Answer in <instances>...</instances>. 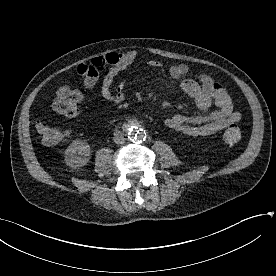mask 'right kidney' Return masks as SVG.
Instances as JSON below:
<instances>
[{"label": "right kidney", "mask_w": 276, "mask_h": 276, "mask_svg": "<svg viewBox=\"0 0 276 276\" xmlns=\"http://www.w3.org/2000/svg\"><path fill=\"white\" fill-rule=\"evenodd\" d=\"M90 156L89 144L85 141L76 140L65 150V163L71 168H80L89 162Z\"/></svg>", "instance_id": "ca27d5eb"}]
</instances>
